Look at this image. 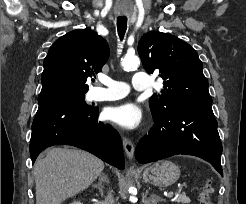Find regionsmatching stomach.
Segmentation results:
<instances>
[{"label":"stomach","instance_id":"stomach-1","mask_svg":"<svg viewBox=\"0 0 246 204\" xmlns=\"http://www.w3.org/2000/svg\"><path fill=\"white\" fill-rule=\"evenodd\" d=\"M180 177V168L171 161L163 160L143 171V180L158 187L174 184Z\"/></svg>","mask_w":246,"mask_h":204}]
</instances>
